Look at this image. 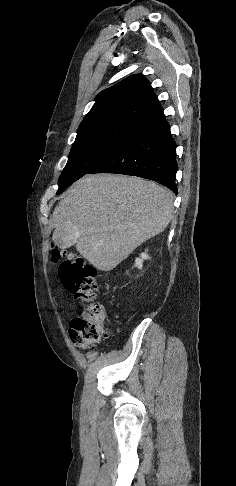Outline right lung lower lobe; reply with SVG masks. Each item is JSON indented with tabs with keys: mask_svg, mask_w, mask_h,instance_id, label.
I'll return each mask as SVG.
<instances>
[{
	"mask_svg": "<svg viewBox=\"0 0 236 486\" xmlns=\"http://www.w3.org/2000/svg\"><path fill=\"white\" fill-rule=\"evenodd\" d=\"M176 143L163 111L140 124L137 133L119 149L91 169L92 173H117L156 181L175 193Z\"/></svg>",
	"mask_w": 236,
	"mask_h": 486,
	"instance_id": "right-lung-lower-lobe-1",
	"label": "right lung lower lobe"
}]
</instances>
